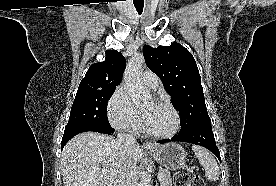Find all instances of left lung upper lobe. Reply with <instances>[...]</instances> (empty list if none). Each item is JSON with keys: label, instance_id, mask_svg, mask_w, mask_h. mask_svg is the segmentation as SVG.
Returning a JSON list of instances; mask_svg holds the SVG:
<instances>
[{"label": "left lung upper lobe", "instance_id": "5c2ea615", "mask_svg": "<svg viewBox=\"0 0 276 186\" xmlns=\"http://www.w3.org/2000/svg\"><path fill=\"white\" fill-rule=\"evenodd\" d=\"M147 66L163 82L181 114V130L186 132L202 124H211L205 105L201 77L192 54L182 45L143 47Z\"/></svg>", "mask_w": 276, "mask_h": 186}]
</instances>
